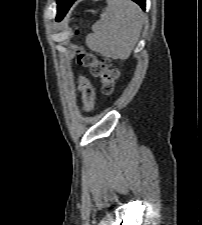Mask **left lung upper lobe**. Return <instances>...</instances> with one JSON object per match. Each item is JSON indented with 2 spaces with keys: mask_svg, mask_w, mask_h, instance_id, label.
I'll list each match as a JSON object with an SVG mask.
<instances>
[{
  "mask_svg": "<svg viewBox=\"0 0 202 225\" xmlns=\"http://www.w3.org/2000/svg\"><path fill=\"white\" fill-rule=\"evenodd\" d=\"M75 0H58V15H57V19L61 20L65 14L67 13V11L69 10V8L71 7V5L73 4Z\"/></svg>",
  "mask_w": 202,
  "mask_h": 225,
  "instance_id": "left-lung-upper-lobe-1",
  "label": "left lung upper lobe"
}]
</instances>
